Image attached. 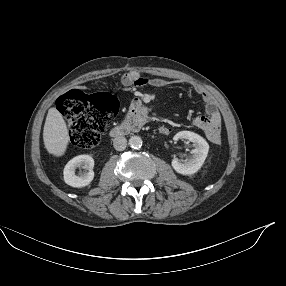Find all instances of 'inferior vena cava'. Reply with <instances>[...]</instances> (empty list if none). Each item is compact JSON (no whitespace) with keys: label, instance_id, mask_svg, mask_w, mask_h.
<instances>
[{"label":"inferior vena cava","instance_id":"602c4592","mask_svg":"<svg viewBox=\"0 0 286 286\" xmlns=\"http://www.w3.org/2000/svg\"><path fill=\"white\" fill-rule=\"evenodd\" d=\"M113 146L118 151H123L127 146V140L124 136H117L113 140Z\"/></svg>","mask_w":286,"mask_h":286}]
</instances>
